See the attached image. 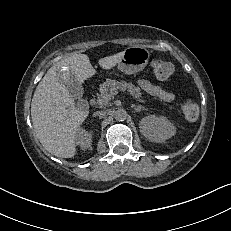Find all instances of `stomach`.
Listing matches in <instances>:
<instances>
[{
  "label": "stomach",
  "instance_id": "0dacf381",
  "mask_svg": "<svg viewBox=\"0 0 231 231\" xmlns=\"http://www.w3.org/2000/svg\"><path fill=\"white\" fill-rule=\"evenodd\" d=\"M150 53L142 46L129 47L118 63V69L125 74H135L142 71L148 64Z\"/></svg>",
  "mask_w": 231,
  "mask_h": 231
}]
</instances>
